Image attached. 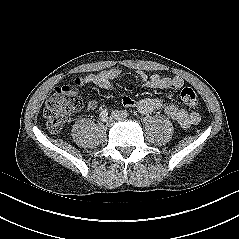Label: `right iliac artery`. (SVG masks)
Here are the masks:
<instances>
[{
	"instance_id": "1",
	"label": "right iliac artery",
	"mask_w": 239,
	"mask_h": 239,
	"mask_svg": "<svg viewBox=\"0 0 239 239\" xmlns=\"http://www.w3.org/2000/svg\"><path fill=\"white\" fill-rule=\"evenodd\" d=\"M107 118H108V111L107 109H103L100 113V119L101 121L106 122Z\"/></svg>"
}]
</instances>
